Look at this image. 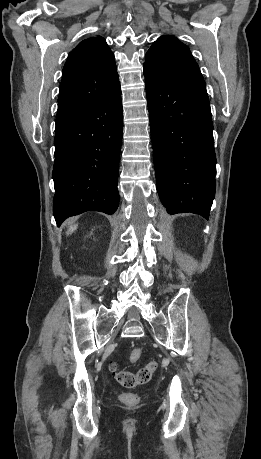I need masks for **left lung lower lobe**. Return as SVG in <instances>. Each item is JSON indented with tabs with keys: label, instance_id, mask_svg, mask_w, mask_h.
<instances>
[{
	"label": "left lung lower lobe",
	"instance_id": "left-lung-lower-lobe-1",
	"mask_svg": "<svg viewBox=\"0 0 261 459\" xmlns=\"http://www.w3.org/2000/svg\"><path fill=\"white\" fill-rule=\"evenodd\" d=\"M156 186L169 214L208 219L216 156L205 82L172 79L144 67Z\"/></svg>",
	"mask_w": 261,
	"mask_h": 459
}]
</instances>
